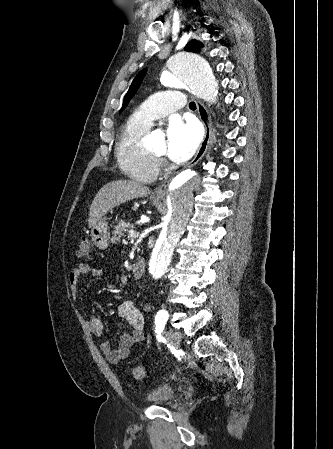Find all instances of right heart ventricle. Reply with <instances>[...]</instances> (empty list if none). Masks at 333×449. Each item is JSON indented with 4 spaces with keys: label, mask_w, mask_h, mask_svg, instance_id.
Wrapping results in <instances>:
<instances>
[{
    "label": "right heart ventricle",
    "mask_w": 333,
    "mask_h": 449,
    "mask_svg": "<svg viewBox=\"0 0 333 449\" xmlns=\"http://www.w3.org/2000/svg\"><path fill=\"white\" fill-rule=\"evenodd\" d=\"M149 127L132 117L121 130L115 154L121 169L132 179L150 183L160 172V163L143 145Z\"/></svg>",
    "instance_id": "e07e8e85"
}]
</instances>
